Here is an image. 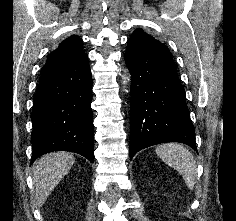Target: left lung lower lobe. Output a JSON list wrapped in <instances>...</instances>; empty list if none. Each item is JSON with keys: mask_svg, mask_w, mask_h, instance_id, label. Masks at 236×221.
Returning a JSON list of instances; mask_svg holds the SVG:
<instances>
[{"mask_svg": "<svg viewBox=\"0 0 236 221\" xmlns=\"http://www.w3.org/2000/svg\"><path fill=\"white\" fill-rule=\"evenodd\" d=\"M131 72L130 159L140 150L165 142L184 143L195 151V131L186 95L169 49L143 30L127 41Z\"/></svg>", "mask_w": 236, "mask_h": 221, "instance_id": "obj_1", "label": "left lung lower lobe"}]
</instances>
